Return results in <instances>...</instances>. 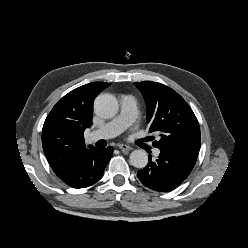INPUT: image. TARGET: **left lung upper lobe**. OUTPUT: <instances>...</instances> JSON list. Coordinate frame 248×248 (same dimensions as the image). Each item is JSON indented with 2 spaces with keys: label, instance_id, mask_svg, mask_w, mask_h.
Returning a JSON list of instances; mask_svg holds the SVG:
<instances>
[{
  "label": "left lung upper lobe",
  "instance_id": "5c2ea615",
  "mask_svg": "<svg viewBox=\"0 0 248 248\" xmlns=\"http://www.w3.org/2000/svg\"><path fill=\"white\" fill-rule=\"evenodd\" d=\"M147 106L150 132H158L160 140L153 146L194 158L198 157L201 134L198 120L186 101L173 89L157 82H135Z\"/></svg>",
  "mask_w": 248,
  "mask_h": 248
}]
</instances>
